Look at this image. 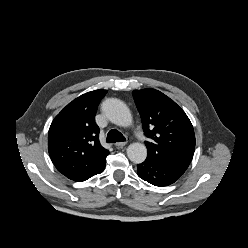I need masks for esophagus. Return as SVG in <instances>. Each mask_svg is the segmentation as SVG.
<instances>
[{
    "label": "esophagus",
    "mask_w": 248,
    "mask_h": 248,
    "mask_svg": "<svg viewBox=\"0 0 248 248\" xmlns=\"http://www.w3.org/2000/svg\"><path fill=\"white\" fill-rule=\"evenodd\" d=\"M126 144H127V142H117V143L115 144V146H116L118 149H121V148H123Z\"/></svg>",
    "instance_id": "34e87169"
}]
</instances>
